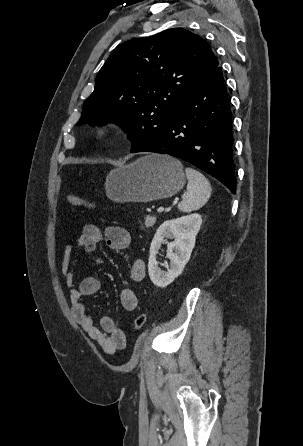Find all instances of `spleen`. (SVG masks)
<instances>
[{
    "label": "spleen",
    "instance_id": "3e777b00",
    "mask_svg": "<svg viewBox=\"0 0 303 446\" xmlns=\"http://www.w3.org/2000/svg\"><path fill=\"white\" fill-rule=\"evenodd\" d=\"M185 172L188 179L187 191L183 200L178 204V209L181 212H191L206 204L212 189L207 178L199 171L187 167Z\"/></svg>",
    "mask_w": 303,
    "mask_h": 446
}]
</instances>
